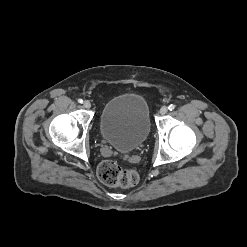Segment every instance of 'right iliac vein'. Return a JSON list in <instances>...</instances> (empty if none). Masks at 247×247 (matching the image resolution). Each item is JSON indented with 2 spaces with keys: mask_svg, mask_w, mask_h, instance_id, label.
Listing matches in <instances>:
<instances>
[{
  "mask_svg": "<svg viewBox=\"0 0 247 247\" xmlns=\"http://www.w3.org/2000/svg\"><path fill=\"white\" fill-rule=\"evenodd\" d=\"M83 106H84L85 108L89 109V108L91 107L90 101L85 100L84 103H83Z\"/></svg>",
  "mask_w": 247,
  "mask_h": 247,
  "instance_id": "63e3f726",
  "label": "right iliac vein"
}]
</instances>
